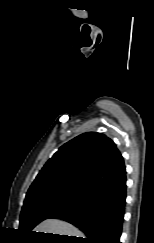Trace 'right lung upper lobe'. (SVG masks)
I'll return each mask as SVG.
<instances>
[{"label": "right lung upper lobe", "mask_w": 154, "mask_h": 243, "mask_svg": "<svg viewBox=\"0 0 154 243\" xmlns=\"http://www.w3.org/2000/svg\"><path fill=\"white\" fill-rule=\"evenodd\" d=\"M115 143L97 132L70 140L50 158L30 186L25 202L51 195L88 199L125 174Z\"/></svg>", "instance_id": "right-lung-upper-lobe-1"}]
</instances>
